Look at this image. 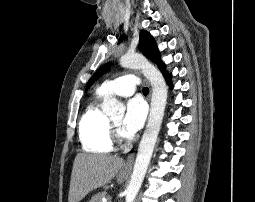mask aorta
Listing matches in <instances>:
<instances>
[{"instance_id": "762f6f07", "label": "aorta", "mask_w": 255, "mask_h": 202, "mask_svg": "<svg viewBox=\"0 0 255 202\" xmlns=\"http://www.w3.org/2000/svg\"><path fill=\"white\" fill-rule=\"evenodd\" d=\"M120 65L124 68L140 69L152 86L148 123L140 141L131 180L125 192L126 202H133L141 188L153 154L164 116L168 89L161 72L142 55L126 54L121 57ZM102 109L109 117H122L125 111L124 105L116 98L106 99Z\"/></svg>"}]
</instances>
